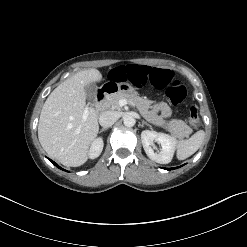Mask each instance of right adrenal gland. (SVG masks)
Returning <instances> with one entry per match:
<instances>
[{
	"label": "right adrenal gland",
	"mask_w": 247,
	"mask_h": 247,
	"mask_svg": "<svg viewBox=\"0 0 247 247\" xmlns=\"http://www.w3.org/2000/svg\"><path fill=\"white\" fill-rule=\"evenodd\" d=\"M105 130H107V128H102V129L100 130V133L103 132V131H105Z\"/></svg>",
	"instance_id": "obj_1"
}]
</instances>
